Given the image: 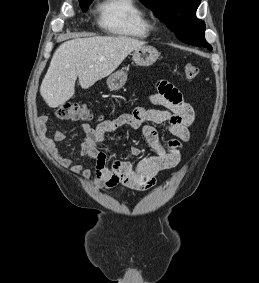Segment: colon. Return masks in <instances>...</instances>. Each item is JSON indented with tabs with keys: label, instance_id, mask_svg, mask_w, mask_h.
I'll return each mask as SVG.
<instances>
[{
	"label": "colon",
	"instance_id": "1",
	"mask_svg": "<svg viewBox=\"0 0 259 283\" xmlns=\"http://www.w3.org/2000/svg\"><path fill=\"white\" fill-rule=\"evenodd\" d=\"M184 74L189 80H194L199 74L196 65L187 63L184 66ZM56 116L61 120L75 121L91 119L92 115L86 105L80 103H65L58 107Z\"/></svg>",
	"mask_w": 259,
	"mask_h": 283
}]
</instances>
